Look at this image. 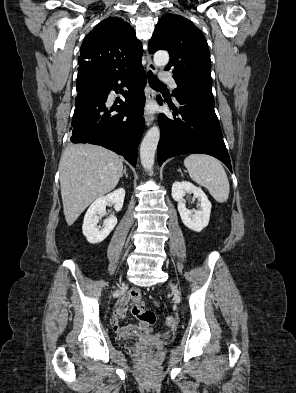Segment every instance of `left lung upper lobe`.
Listing matches in <instances>:
<instances>
[{
  "instance_id": "obj_1",
  "label": "left lung upper lobe",
  "mask_w": 296,
  "mask_h": 393,
  "mask_svg": "<svg viewBox=\"0 0 296 393\" xmlns=\"http://www.w3.org/2000/svg\"><path fill=\"white\" fill-rule=\"evenodd\" d=\"M159 49L170 53V61L165 69L173 68V78L177 84L175 97L187 92L212 94L207 41L191 21L175 14L162 16L149 41L151 53Z\"/></svg>"
}]
</instances>
